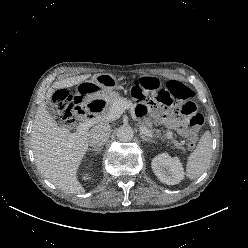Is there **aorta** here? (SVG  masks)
I'll return each instance as SVG.
<instances>
[{"label": "aorta", "instance_id": "aorta-1", "mask_svg": "<svg viewBox=\"0 0 248 248\" xmlns=\"http://www.w3.org/2000/svg\"><path fill=\"white\" fill-rule=\"evenodd\" d=\"M134 130L129 125H122L117 130V137L122 142H129L133 139Z\"/></svg>", "mask_w": 248, "mask_h": 248}]
</instances>
